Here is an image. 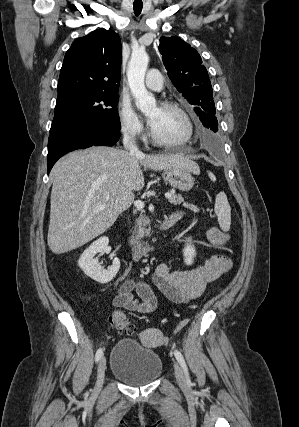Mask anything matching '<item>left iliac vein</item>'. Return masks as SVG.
<instances>
[{"label":"left iliac vein","mask_w":299,"mask_h":427,"mask_svg":"<svg viewBox=\"0 0 299 427\" xmlns=\"http://www.w3.org/2000/svg\"><path fill=\"white\" fill-rule=\"evenodd\" d=\"M174 372H175V377L176 380L179 384H184L185 383V376L183 373V370L181 369V367L179 366L178 363H174Z\"/></svg>","instance_id":"obj_1"}]
</instances>
